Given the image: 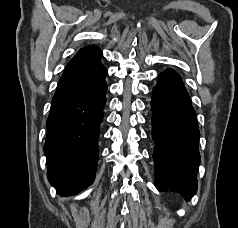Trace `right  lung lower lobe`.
Returning <instances> with one entry per match:
<instances>
[{
  "instance_id": "1",
  "label": "right lung lower lobe",
  "mask_w": 238,
  "mask_h": 228,
  "mask_svg": "<svg viewBox=\"0 0 238 228\" xmlns=\"http://www.w3.org/2000/svg\"><path fill=\"white\" fill-rule=\"evenodd\" d=\"M106 74L105 69L93 81L58 88L52 99L44 151L48 179L61 196L76 194L94 181Z\"/></svg>"
}]
</instances>
